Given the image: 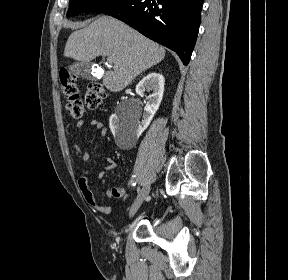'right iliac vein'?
Returning <instances> with one entry per match:
<instances>
[{
	"mask_svg": "<svg viewBox=\"0 0 288 280\" xmlns=\"http://www.w3.org/2000/svg\"><path fill=\"white\" fill-rule=\"evenodd\" d=\"M150 192V185H144L138 192L132 207L130 209L129 212V217L132 218L136 212L138 211V209L140 208V206L142 205V203L144 202V200L146 199V197L148 196Z\"/></svg>",
	"mask_w": 288,
	"mask_h": 280,
	"instance_id": "63e3f726",
	"label": "right iliac vein"
}]
</instances>
